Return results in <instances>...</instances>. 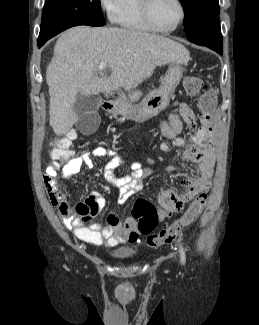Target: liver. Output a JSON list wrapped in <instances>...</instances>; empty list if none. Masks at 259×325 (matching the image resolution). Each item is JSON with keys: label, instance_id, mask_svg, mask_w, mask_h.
I'll return each instance as SVG.
<instances>
[{"label": "liver", "instance_id": "1", "mask_svg": "<svg viewBox=\"0 0 259 325\" xmlns=\"http://www.w3.org/2000/svg\"><path fill=\"white\" fill-rule=\"evenodd\" d=\"M189 59L182 44L161 35L116 27L70 28L57 39L46 70L50 126L56 135H64L78 121L73 109L78 93L130 90L149 78L156 66ZM101 62H106L110 76H97Z\"/></svg>", "mask_w": 259, "mask_h": 325}]
</instances>
